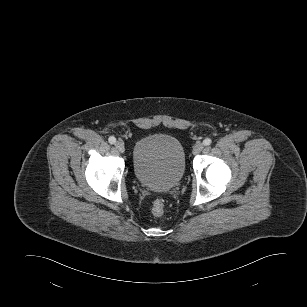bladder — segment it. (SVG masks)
Here are the masks:
<instances>
[{"mask_svg": "<svg viewBox=\"0 0 307 307\" xmlns=\"http://www.w3.org/2000/svg\"><path fill=\"white\" fill-rule=\"evenodd\" d=\"M132 166L140 184L155 191H168L177 186L184 176L185 150L173 136H146L134 146Z\"/></svg>", "mask_w": 307, "mask_h": 307, "instance_id": "bladder-1", "label": "bladder"}]
</instances>
